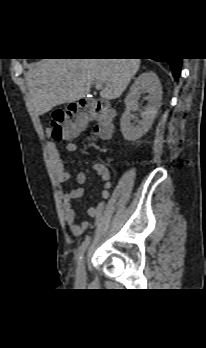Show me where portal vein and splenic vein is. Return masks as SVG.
<instances>
[{"mask_svg": "<svg viewBox=\"0 0 206 348\" xmlns=\"http://www.w3.org/2000/svg\"><path fill=\"white\" fill-rule=\"evenodd\" d=\"M95 84H96V88L97 89L102 88V83L101 82L97 81Z\"/></svg>", "mask_w": 206, "mask_h": 348, "instance_id": "18ae733b", "label": "portal vein and splenic vein"}]
</instances>
